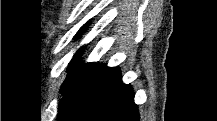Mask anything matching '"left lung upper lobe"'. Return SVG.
Wrapping results in <instances>:
<instances>
[{
    "label": "left lung upper lobe",
    "instance_id": "1",
    "mask_svg": "<svg viewBox=\"0 0 217 121\" xmlns=\"http://www.w3.org/2000/svg\"><path fill=\"white\" fill-rule=\"evenodd\" d=\"M89 22L80 28L76 36L85 31ZM84 48L79 49L71 60L68 76L60 89L63 95L59 104L60 121H73L75 119L84 102L86 92L105 66L94 63H78Z\"/></svg>",
    "mask_w": 217,
    "mask_h": 121
}]
</instances>
